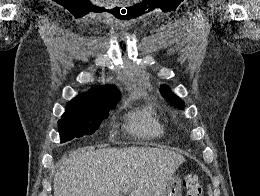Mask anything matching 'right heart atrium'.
<instances>
[{
    "label": "right heart atrium",
    "instance_id": "obj_1",
    "mask_svg": "<svg viewBox=\"0 0 260 196\" xmlns=\"http://www.w3.org/2000/svg\"><path fill=\"white\" fill-rule=\"evenodd\" d=\"M129 192H153V190H129Z\"/></svg>",
    "mask_w": 260,
    "mask_h": 196
}]
</instances>
